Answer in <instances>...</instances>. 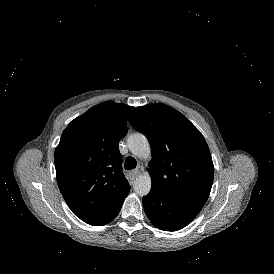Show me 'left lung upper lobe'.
Wrapping results in <instances>:
<instances>
[{"mask_svg": "<svg viewBox=\"0 0 274 274\" xmlns=\"http://www.w3.org/2000/svg\"><path fill=\"white\" fill-rule=\"evenodd\" d=\"M129 123L149 140L152 188L203 206L211 191L214 166L199 130L180 112L161 103L137 107Z\"/></svg>", "mask_w": 274, "mask_h": 274, "instance_id": "obj_1", "label": "left lung upper lobe"}]
</instances>
